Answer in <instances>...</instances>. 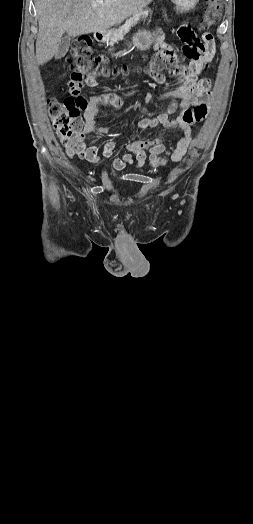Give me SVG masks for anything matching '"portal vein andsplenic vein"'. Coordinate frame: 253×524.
Returning a JSON list of instances; mask_svg holds the SVG:
<instances>
[{
  "mask_svg": "<svg viewBox=\"0 0 253 524\" xmlns=\"http://www.w3.org/2000/svg\"><path fill=\"white\" fill-rule=\"evenodd\" d=\"M92 7H93V8H96V7H98V5H97L96 3H93V4H92Z\"/></svg>",
  "mask_w": 253,
  "mask_h": 524,
  "instance_id": "portal-vein-and-splenic-vein-1",
  "label": "portal vein and splenic vein"
}]
</instances>
